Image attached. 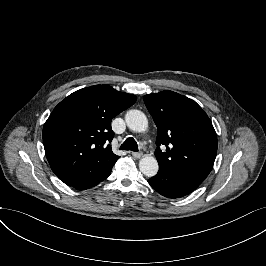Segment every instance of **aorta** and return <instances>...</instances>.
Instances as JSON below:
<instances>
[{
    "label": "aorta",
    "instance_id": "obj_1",
    "mask_svg": "<svg viewBox=\"0 0 266 266\" xmlns=\"http://www.w3.org/2000/svg\"><path fill=\"white\" fill-rule=\"evenodd\" d=\"M127 127L135 132H144L148 128L146 115L140 110H129L125 115ZM139 169L146 177H153L159 170V165L153 156L145 155L139 161Z\"/></svg>",
    "mask_w": 266,
    "mask_h": 266
}]
</instances>
